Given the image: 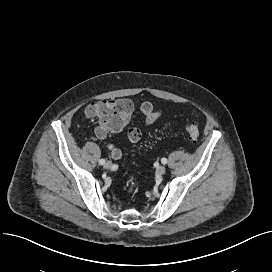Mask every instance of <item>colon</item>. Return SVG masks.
<instances>
[{"label":"colon","instance_id":"1","mask_svg":"<svg viewBox=\"0 0 272 272\" xmlns=\"http://www.w3.org/2000/svg\"><path fill=\"white\" fill-rule=\"evenodd\" d=\"M98 127L96 133L99 137H104L108 131H118L126 124V118L120 114L117 108L113 106H104L98 110ZM186 132L191 141L199 137V128L197 123L190 122L186 125ZM141 130L132 127L128 131V136L133 139L141 138Z\"/></svg>","mask_w":272,"mask_h":272}]
</instances>
